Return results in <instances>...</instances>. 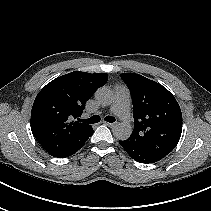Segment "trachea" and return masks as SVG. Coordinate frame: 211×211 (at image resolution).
Listing matches in <instances>:
<instances>
[{"instance_id":"1","label":"trachea","mask_w":211,"mask_h":211,"mask_svg":"<svg viewBox=\"0 0 211 211\" xmlns=\"http://www.w3.org/2000/svg\"><path fill=\"white\" fill-rule=\"evenodd\" d=\"M100 120H101L100 116L94 115L86 120H83V122L88 123V124H95V123L100 122ZM104 120L109 123L115 122V118L112 116H106Z\"/></svg>"}]
</instances>
